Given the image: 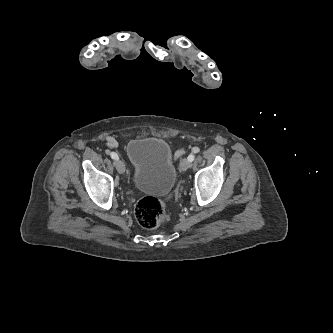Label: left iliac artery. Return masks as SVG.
I'll return each mask as SVG.
<instances>
[{
  "mask_svg": "<svg viewBox=\"0 0 333 333\" xmlns=\"http://www.w3.org/2000/svg\"><path fill=\"white\" fill-rule=\"evenodd\" d=\"M194 159H195L194 154H190V155L188 156V160H189L190 162H192Z\"/></svg>",
  "mask_w": 333,
  "mask_h": 333,
  "instance_id": "left-iliac-artery-1",
  "label": "left iliac artery"
}]
</instances>
